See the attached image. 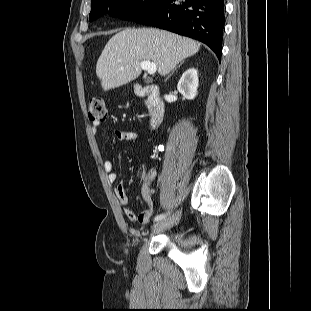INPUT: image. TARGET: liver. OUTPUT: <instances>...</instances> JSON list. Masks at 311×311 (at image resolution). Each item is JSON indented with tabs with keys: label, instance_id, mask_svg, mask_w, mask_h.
<instances>
[{
	"label": "liver",
	"instance_id": "obj_1",
	"mask_svg": "<svg viewBox=\"0 0 311 311\" xmlns=\"http://www.w3.org/2000/svg\"><path fill=\"white\" fill-rule=\"evenodd\" d=\"M199 49V42L168 31L127 28L106 44L97 61L96 75L103 90L108 91L138 78L141 61L155 63L158 73L165 76Z\"/></svg>",
	"mask_w": 311,
	"mask_h": 311
}]
</instances>
